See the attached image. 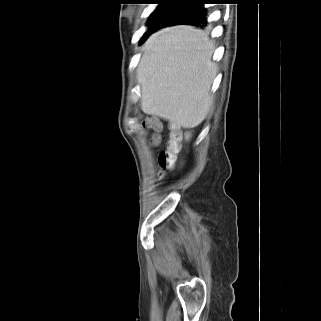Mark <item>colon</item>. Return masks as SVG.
Instances as JSON below:
<instances>
[{
  "mask_svg": "<svg viewBox=\"0 0 321 321\" xmlns=\"http://www.w3.org/2000/svg\"><path fill=\"white\" fill-rule=\"evenodd\" d=\"M148 129L153 131L152 141L156 143L158 137L156 132L159 129V123L154 119L146 121ZM186 135L177 126H171L170 137L166 149L159 155V165L163 171L173 168L176 163L178 153L182 148V142L185 140Z\"/></svg>",
  "mask_w": 321,
  "mask_h": 321,
  "instance_id": "1",
  "label": "colon"
}]
</instances>
